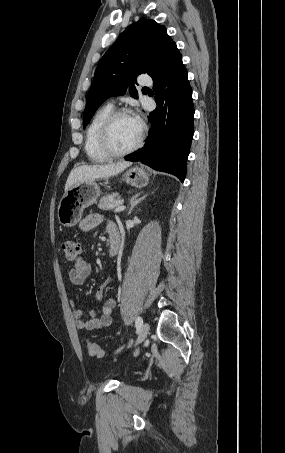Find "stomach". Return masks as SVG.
Returning <instances> with one entry per match:
<instances>
[{"label": "stomach", "instance_id": "0dacf381", "mask_svg": "<svg viewBox=\"0 0 285 453\" xmlns=\"http://www.w3.org/2000/svg\"><path fill=\"white\" fill-rule=\"evenodd\" d=\"M123 177L128 184L136 188H142L149 183V175L139 167L130 168ZM99 196L100 187L95 181L73 185L59 202V223L68 228L75 226L82 219L84 209L95 204Z\"/></svg>", "mask_w": 285, "mask_h": 453}]
</instances>
